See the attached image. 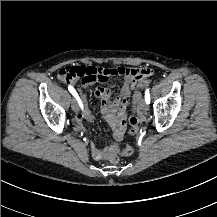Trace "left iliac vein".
<instances>
[{"label":"left iliac vein","instance_id":"obj_1","mask_svg":"<svg viewBox=\"0 0 217 217\" xmlns=\"http://www.w3.org/2000/svg\"><path fill=\"white\" fill-rule=\"evenodd\" d=\"M140 108L142 111L147 112L148 111V104L145 101H141Z\"/></svg>","mask_w":217,"mask_h":217}]
</instances>
